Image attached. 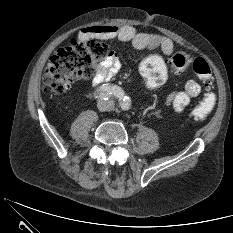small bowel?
Listing matches in <instances>:
<instances>
[{"mask_svg":"<svg viewBox=\"0 0 233 233\" xmlns=\"http://www.w3.org/2000/svg\"><path fill=\"white\" fill-rule=\"evenodd\" d=\"M79 36L82 39L100 37L103 39L115 38L120 42H130L135 49L152 51L160 49L166 57H170L174 51L173 42L160 34L144 33L130 25H98L82 29ZM96 74L92 79V86L99 89L107 86L120 68L118 55L110 51L106 58L94 64ZM201 92L200 84L195 80H188L181 90L171 92L165 104L176 112H182Z\"/></svg>","mask_w":233,"mask_h":233,"instance_id":"1","label":"small bowel"}]
</instances>
